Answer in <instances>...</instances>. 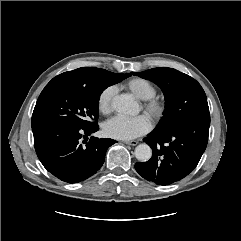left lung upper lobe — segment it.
I'll use <instances>...</instances> for the list:
<instances>
[{
	"label": "left lung upper lobe",
	"instance_id": "obj_1",
	"mask_svg": "<svg viewBox=\"0 0 241 241\" xmlns=\"http://www.w3.org/2000/svg\"><path fill=\"white\" fill-rule=\"evenodd\" d=\"M132 74L156 83L164 93V116L154 130L167 132L195 120L210 119L206 94L189 75L167 67Z\"/></svg>",
	"mask_w": 241,
	"mask_h": 241
}]
</instances>
